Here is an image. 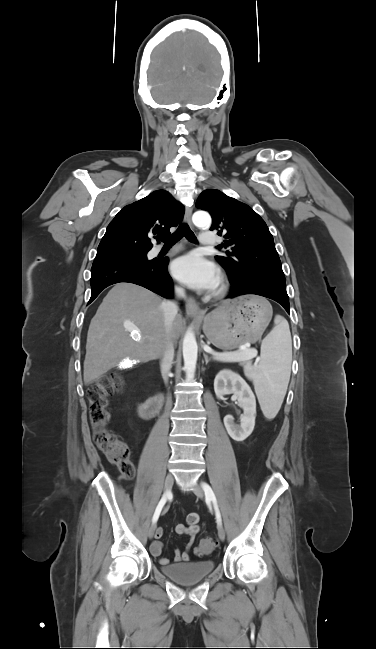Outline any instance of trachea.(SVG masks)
<instances>
[{
  "mask_svg": "<svg viewBox=\"0 0 376 649\" xmlns=\"http://www.w3.org/2000/svg\"><path fill=\"white\" fill-rule=\"evenodd\" d=\"M184 236L189 242L197 243L196 236L194 235V233L192 232V230L189 228L187 224H181L172 235L160 237V240L165 245H174L179 240H181Z\"/></svg>",
  "mask_w": 376,
  "mask_h": 649,
  "instance_id": "trachea-1",
  "label": "trachea"
}]
</instances>
